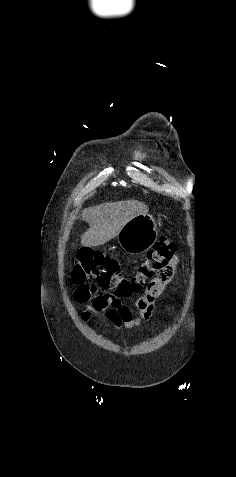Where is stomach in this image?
<instances>
[{
	"label": "stomach",
	"instance_id": "obj_1",
	"mask_svg": "<svg viewBox=\"0 0 236 477\" xmlns=\"http://www.w3.org/2000/svg\"><path fill=\"white\" fill-rule=\"evenodd\" d=\"M158 236L155 219L149 214H140L129 220L117 235L121 248L131 255L149 250Z\"/></svg>",
	"mask_w": 236,
	"mask_h": 477
}]
</instances>
